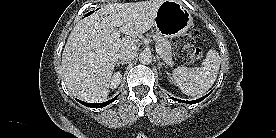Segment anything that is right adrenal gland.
Wrapping results in <instances>:
<instances>
[{"label": "right adrenal gland", "instance_id": "2a0ac1e0", "mask_svg": "<svg viewBox=\"0 0 276 138\" xmlns=\"http://www.w3.org/2000/svg\"><path fill=\"white\" fill-rule=\"evenodd\" d=\"M128 63L129 62L120 61V62H117L116 65H117V67H119L120 64L123 66V65L128 64Z\"/></svg>", "mask_w": 276, "mask_h": 138}]
</instances>
